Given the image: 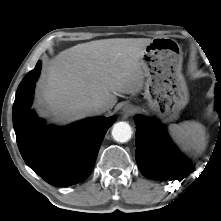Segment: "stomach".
<instances>
[{"instance_id": "1", "label": "stomach", "mask_w": 221, "mask_h": 221, "mask_svg": "<svg viewBox=\"0 0 221 221\" xmlns=\"http://www.w3.org/2000/svg\"><path fill=\"white\" fill-rule=\"evenodd\" d=\"M183 52L172 38H154L144 49V97L149 110L162 120H176L188 103V89L181 73Z\"/></svg>"}]
</instances>
